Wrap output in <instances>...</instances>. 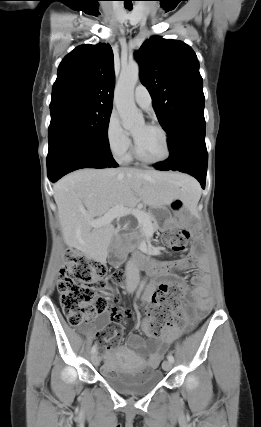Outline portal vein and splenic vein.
I'll use <instances>...</instances> for the list:
<instances>
[{"label": "portal vein and splenic vein", "mask_w": 261, "mask_h": 427, "mask_svg": "<svg viewBox=\"0 0 261 427\" xmlns=\"http://www.w3.org/2000/svg\"><path fill=\"white\" fill-rule=\"evenodd\" d=\"M130 214L133 215L140 224H143L144 226L148 227L149 221L147 219V214L144 211L140 209L124 207L122 205H117L113 207L101 218L91 220L90 225L92 227L105 226L110 224L115 218H121Z\"/></svg>", "instance_id": "1"}]
</instances>
